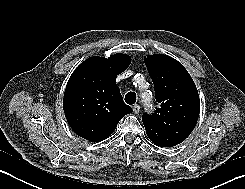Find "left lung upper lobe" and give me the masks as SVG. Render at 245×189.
I'll list each match as a JSON object with an SVG mask.
<instances>
[{"mask_svg":"<svg viewBox=\"0 0 245 189\" xmlns=\"http://www.w3.org/2000/svg\"><path fill=\"white\" fill-rule=\"evenodd\" d=\"M160 107L143 124L149 139L158 146L172 147L193 131L200 111L198 91L184 66L168 55L144 57Z\"/></svg>","mask_w":245,"mask_h":189,"instance_id":"5c2ea615","label":"left lung upper lobe"}]
</instances>
